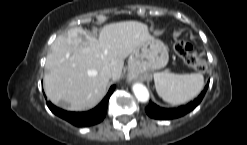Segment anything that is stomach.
<instances>
[{"label":"stomach","mask_w":247,"mask_h":145,"mask_svg":"<svg viewBox=\"0 0 247 145\" xmlns=\"http://www.w3.org/2000/svg\"><path fill=\"white\" fill-rule=\"evenodd\" d=\"M169 60L166 45L157 39L142 43L135 48L128 59V69L131 75H143L164 68Z\"/></svg>","instance_id":"1"}]
</instances>
